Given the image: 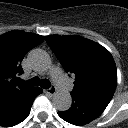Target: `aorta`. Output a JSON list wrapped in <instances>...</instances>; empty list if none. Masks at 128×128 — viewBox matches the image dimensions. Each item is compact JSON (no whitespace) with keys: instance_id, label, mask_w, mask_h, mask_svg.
Segmentation results:
<instances>
[{"instance_id":"1","label":"aorta","mask_w":128,"mask_h":128,"mask_svg":"<svg viewBox=\"0 0 128 128\" xmlns=\"http://www.w3.org/2000/svg\"><path fill=\"white\" fill-rule=\"evenodd\" d=\"M28 58L32 65L39 70H46L50 64L48 54L41 49L32 50ZM72 104V97L67 91H58L53 96V105L59 111H67Z\"/></svg>"}]
</instances>
